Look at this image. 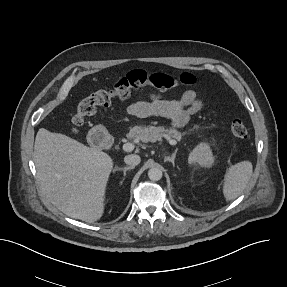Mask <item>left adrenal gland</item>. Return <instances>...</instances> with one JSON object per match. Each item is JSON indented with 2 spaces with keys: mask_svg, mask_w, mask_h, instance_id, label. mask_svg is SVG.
Returning a JSON list of instances; mask_svg holds the SVG:
<instances>
[{
  "mask_svg": "<svg viewBox=\"0 0 287 287\" xmlns=\"http://www.w3.org/2000/svg\"><path fill=\"white\" fill-rule=\"evenodd\" d=\"M176 154H177V149L175 150V152L171 156H165L164 161H169L174 165Z\"/></svg>",
  "mask_w": 287,
  "mask_h": 287,
  "instance_id": "1",
  "label": "left adrenal gland"
}]
</instances>
